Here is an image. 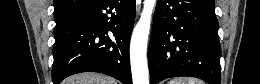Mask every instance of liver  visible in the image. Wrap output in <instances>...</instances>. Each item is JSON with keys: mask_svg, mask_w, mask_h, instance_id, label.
<instances>
[{"mask_svg": "<svg viewBox=\"0 0 260 84\" xmlns=\"http://www.w3.org/2000/svg\"><path fill=\"white\" fill-rule=\"evenodd\" d=\"M64 82L65 84H117V81L112 77L92 72L71 76Z\"/></svg>", "mask_w": 260, "mask_h": 84, "instance_id": "1", "label": "liver"}]
</instances>
